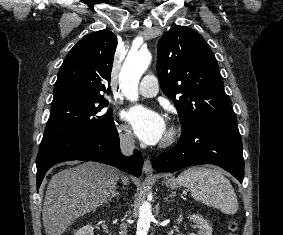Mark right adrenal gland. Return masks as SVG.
I'll list each match as a JSON object with an SVG mask.
<instances>
[{
  "mask_svg": "<svg viewBox=\"0 0 283 235\" xmlns=\"http://www.w3.org/2000/svg\"><path fill=\"white\" fill-rule=\"evenodd\" d=\"M120 194L119 192L116 190V188L113 190L112 195L109 197V201L112 200V198L118 197Z\"/></svg>",
  "mask_w": 283,
  "mask_h": 235,
  "instance_id": "obj_1",
  "label": "right adrenal gland"
}]
</instances>
